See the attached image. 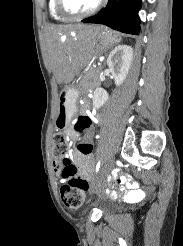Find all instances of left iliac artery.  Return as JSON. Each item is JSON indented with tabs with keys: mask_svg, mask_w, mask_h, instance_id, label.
I'll use <instances>...</instances> for the list:
<instances>
[{
	"mask_svg": "<svg viewBox=\"0 0 183 246\" xmlns=\"http://www.w3.org/2000/svg\"><path fill=\"white\" fill-rule=\"evenodd\" d=\"M100 165H101V161L99 160L96 165V172L99 171Z\"/></svg>",
	"mask_w": 183,
	"mask_h": 246,
	"instance_id": "44dca946",
	"label": "left iliac artery"
}]
</instances>
